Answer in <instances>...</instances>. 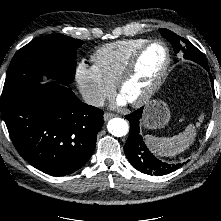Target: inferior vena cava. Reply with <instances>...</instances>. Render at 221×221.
Wrapping results in <instances>:
<instances>
[{
    "instance_id": "inferior-vena-cava-1",
    "label": "inferior vena cava",
    "mask_w": 221,
    "mask_h": 221,
    "mask_svg": "<svg viewBox=\"0 0 221 221\" xmlns=\"http://www.w3.org/2000/svg\"><path fill=\"white\" fill-rule=\"evenodd\" d=\"M82 98L88 105L103 106L104 104V98L94 91L87 90L82 92Z\"/></svg>"
}]
</instances>
